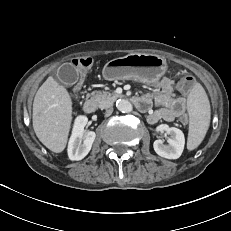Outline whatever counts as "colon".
<instances>
[{
  "label": "colon",
  "mask_w": 231,
  "mask_h": 231,
  "mask_svg": "<svg viewBox=\"0 0 231 231\" xmlns=\"http://www.w3.org/2000/svg\"><path fill=\"white\" fill-rule=\"evenodd\" d=\"M93 64V59L91 57H80L73 60V65L79 69V74L76 76L75 84L77 86H80L82 84L81 80L87 79V70L90 68ZM194 86V78L192 76H185L180 84L179 89L182 93H189ZM71 95L73 97H76L78 95V92L76 90H73L71 92ZM181 123L186 124L188 119L187 116H183L180 119Z\"/></svg>",
  "instance_id": "colon-1"
}]
</instances>
